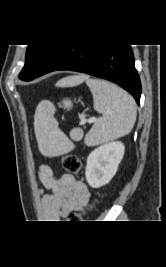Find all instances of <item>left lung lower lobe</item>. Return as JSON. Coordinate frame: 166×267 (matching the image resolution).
Wrapping results in <instances>:
<instances>
[{
    "label": "left lung lower lobe",
    "instance_id": "1",
    "mask_svg": "<svg viewBox=\"0 0 166 267\" xmlns=\"http://www.w3.org/2000/svg\"><path fill=\"white\" fill-rule=\"evenodd\" d=\"M58 70L82 72L112 81L140 104L141 82L130 45H60L37 77Z\"/></svg>",
    "mask_w": 166,
    "mask_h": 267
}]
</instances>
